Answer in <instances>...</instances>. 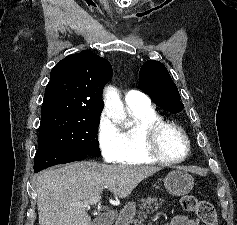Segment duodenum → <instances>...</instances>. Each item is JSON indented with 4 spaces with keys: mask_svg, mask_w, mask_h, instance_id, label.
<instances>
[{
    "mask_svg": "<svg viewBox=\"0 0 237 225\" xmlns=\"http://www.w3.org/2000/svg\"><path fill=\"white\" fill-rule=\"evenodd\" d=\"M114 225H122V220L117 218L114 222Z\"/></svg>",
    "mask_w": 237,
    "mask_h": 225,
    "instance_id": "1",
    "label": "duodenum"
}]
</instances>
